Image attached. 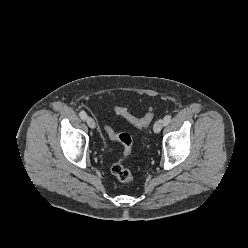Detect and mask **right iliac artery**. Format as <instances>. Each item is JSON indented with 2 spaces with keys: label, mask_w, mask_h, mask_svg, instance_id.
I'll list each match as a JSON object with an SVG mask.
<instances>
[{
  "label": "right iliac artery",
  "mask_w": 248,
  "mask_h": 248,
  "mask_svg": "<svg viewBox=\"0 0 248 248\" xmlns=\"http://www.w3.org/2000/svg\"><path fill=\"white\" fill-rule=\"evenodd\" d=\"M79 116L82 120L87 119V113L85 111H80Z\"/></svg>",
  "instance_id": "1"
}]
</instances>
